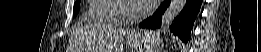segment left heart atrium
I'll return each mask as SVG.
<instances>
[{"instance_id":"1","label":"left heart atrium","mask_w":261,"mask_h":52,"mask_svg":"<svg viewBox=\"0 0 261 52\" xmlns=\"http://www.w3.org/2000/svg\"><path fill=\"white\" fill-rule=\"evenodd\" d=\"M158 2L157 0H134L136 6L143 10L154 7Z\"/></svg>"}]
</instances>
